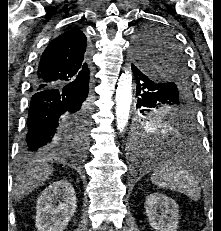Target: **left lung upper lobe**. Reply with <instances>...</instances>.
I'll use <instances>...</instances> for the list:
<instances>
[{
    "label": "left lung upper lobe",
    "instance_id": "5c2ea615",
    "mask_svg": "<svg viewBox=\"0 0 221 231\" xmlns=\"http://www.w3.org/2000/svg\"><path fill=\"white\" fill-rule=\"evenodd\" d=\"M133 54L138 67L147 69L160 81L158 83L167 85L165 90L139 107L141 115L137 118L135 132L151 137L152 134L144 130L148 117L166 115L174 119L181 116L178 118L182 119L191 116L192 86L184 52L166 30L149 25L141 27L133 43Z\"/></svg>",
    "mask_w": 221,
    "mask_h": 231
}]
</instances>
